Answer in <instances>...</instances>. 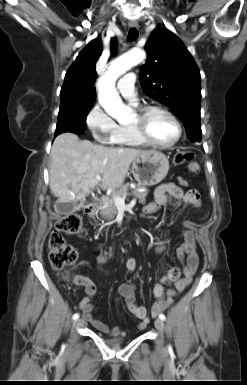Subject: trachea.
<instances>
[{"label": "trachea", "mask_w": 247, "mask_h": 385, "mask_svg": "<svg viewBox=\"0 0 247 385\" xmlns=\"http://www.w3.org/2000/svg\"><path fill=\"white\" fill-rule=\"evenodd\" d=\"M139 33L136 28H130L128 32V40L129 41H134L138 38Z\"/></svg>", "instance_id": "trachea-1"}]
</instances>
